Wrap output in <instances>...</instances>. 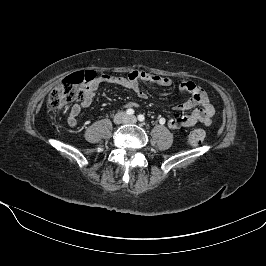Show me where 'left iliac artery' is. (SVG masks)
<instances>
[{
    "label": "left iliac artery",
    "instance_id": "1",
    "mask_svg": "<svg viewBox=\"0 0 266 266\" xmlns=\"http://www.w3.org/2000/svg\"><path fill=\"white\" fill-rule=\"evenodd\" d=\"M138 120H139L140 122H143V121L145 120L144 115H142V114L138 115Z\"/></svg>",
    "mask_w": 266,
    "mask_h": 266
}]
</instances>
